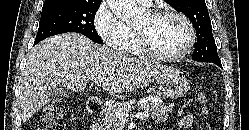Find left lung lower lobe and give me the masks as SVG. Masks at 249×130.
<instances>
[{"instance_id":"obj_1","label":"left lung lower lobe","mask_w":249,"mask_h":130,"mask_svg":"<svg viewBox=\"0 0 249 130\" xmlns=\"http://www.w3.org/2000/svg\"><path fill=\"white\" fill-rule=\"evenodd\" d=\"M214 64H216L217 66H219L220 68H222L221 61L220 62H216Z\"/></svg>"}]
</instances>
